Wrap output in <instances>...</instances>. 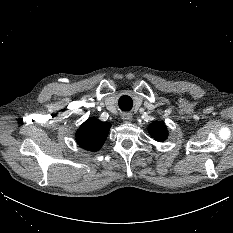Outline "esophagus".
Returning a JSON list of instances; mask_svg holds the SVG:
<instances>
[{"label":"esophagus","mask_w":233,"mask_h":233,"mask_svg":"<svg viewBox=\"0 0 233 233\" xmlns=\"http://www.w3.org/2000/svg\"><path fill=\"white\" fill-rule=\"evenodd\" d=\"M122 120L125 122V123H130L132 121V114L131 113H124L122 115Z\"/></svg>","instance_id":"obj_1"}]
</instances>
